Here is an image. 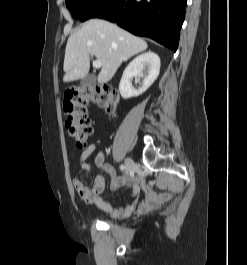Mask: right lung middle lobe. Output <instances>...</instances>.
Returning <instances> with one entry per match:
<instances>
[{"mask_svg": "<svg viewBox=\"0 0 247 265\" xmlns=\"http://www.w3.org/2000/svg\"><path fill=\"white\" fill-rule=\"evenodd\" d=\"M101 0H66V6L75 19H82L85 13Z\"/></svg>", "mask_w": 247, "mask_h": 265, "instance_id": "1", "label": "right lung middle lobe"}]
</instances>
